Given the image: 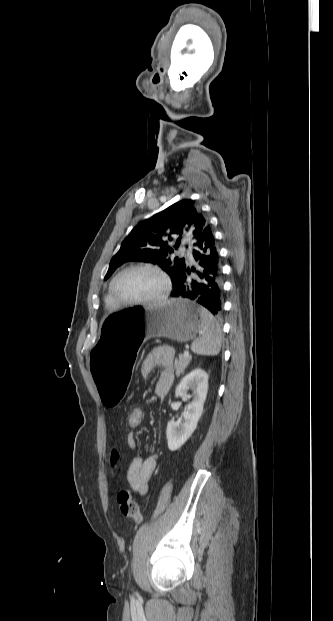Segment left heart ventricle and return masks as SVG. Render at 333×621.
<instances>
[{"mask_svg": "<svg viewBox=\"0 0 333 621\" xmlns=\"http://www.w3.org/2000/svg\"><path fill=\"white\" fill-rule=\"evenodd\" d=\"M164 289L162 279L148 270H135L124 274L116 283V292L123 300L151 299Z\"/></svg>", "mask_w": 333, "mask_h": 621, "instance_id": "1", "label": "left heart ventricle"}]
</instances>
